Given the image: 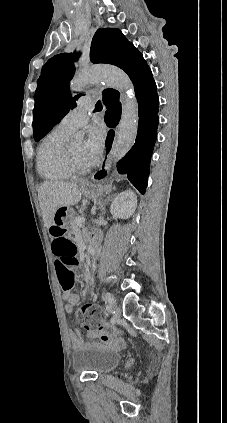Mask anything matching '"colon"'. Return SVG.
<instances>
[{
  "label": "colon",
  "mask_w": 227,
  "mask_h": 423,
  "mask_svg": "<svg viewBox=\"0 0 227 423\" xmlns=\"http://www.w3.org/2000/svg\"><path fill=\"white\" fill-rule=\"evenodd\" d=\"M52 250L56 257V271L64 293H71L78 276V261L74 243L66 236L63 227L58 224L51 230ZM78 321L88 330H102L105 325L100 308L86 304L78 313Z\"/></svg>",
  "instance_id": "5ec220e1"
}]
</instances>
